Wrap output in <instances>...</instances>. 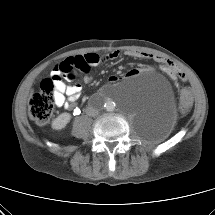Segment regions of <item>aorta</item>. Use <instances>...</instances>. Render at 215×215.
<instances>
[{
  "label": "aorta",
  "instance_id": "obj_1",
  "mask_svg": "<svg viewBox=\"0 0 215 215\" xmlns=\"http://www.w3.org/2000/svg\"><path fill=\"white\" fill-rule=\"evenodd\" d=\"M123 86L122 85H116L112 87L110 98L107 99V101L104 104V109L108 112H112L116 108V102L123 99L122 95Z\"/></svg>",
  "mask_w": 215,
  "mask_h": 215
}]
</instances>
